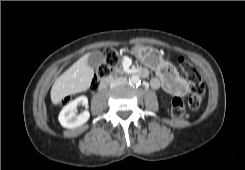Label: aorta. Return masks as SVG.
Wrapping results in <instances>:
<instances>
[{
    "mask_svg": "<svg viewBox=\"0 0 245 170\" xmlns=\"http://www.w3.org/2000/svg\"><path fill=\"white\" fill-rule=\"evenodd\" d=\"M130 83L132 85H139L140 84V78L137 75H132L130 78Z\"/></svg>",
    "mask_w": 245,
    "mask_h": 170,
    "instance_id": "obj_1",
    "label": "aorta"
}]
</instances>
